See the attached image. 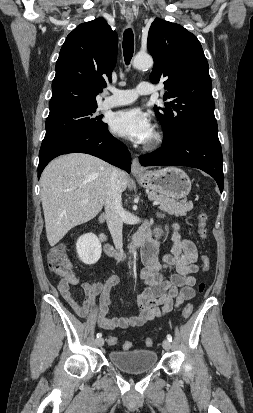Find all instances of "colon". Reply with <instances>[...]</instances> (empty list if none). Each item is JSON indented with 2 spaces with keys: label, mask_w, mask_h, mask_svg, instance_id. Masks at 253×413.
<instances>
[{
  "label": "colon",
  "mask_w": 253,
  "mask_h": 413,
  "mask_svg": "<svg viewBox=\"0 0 253 413\" xmlns=\"http://www.w3.org/2000/svg\"><path fill=\"white\" fill-rule=\"evenodd\" d=\"M206 220L207 216L205 213L201 212L198 216V232L201 238L206 237ZM202 261V269L204 272H207L210 267V259L207 255H203L201 257ZM48 262H49V267L51 271L58 277H61L63 279L69 278L74 274L72 265L68 259V256L66 254V250L64 245H57L54 248H52L48 254ZM205 289V284L200 283L198 285V291L203 292ZM193 312V306L191 304H188L184 307L182 311V316L185 319H188ZM109 344L115 345L119 343V340L115 336H110L108 338ZM154 341L152 338L148 337L145 339V345L147 347H151L153 345ZM123 349L128 350L131 348V343L129 341H124L121 343Z\"/></svg>",
  "instance_id": "colon-1"
}]
</instances>
